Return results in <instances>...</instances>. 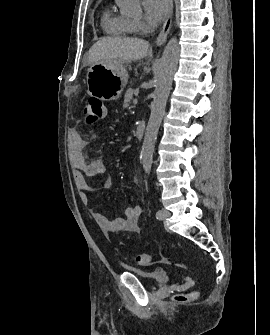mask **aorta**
<instances>
[{
	"instance_id": "obj_1",
	"label": "aorta",
	"mask_w": 270,
	"mask_h": 335,
	"mask_svg": "<svg viewBox=\"0 0 270 335\" xmlns=\"http://www.w3.org/2000/svg\"><path fill=\"white\" fill-rule=\"evenodd\" d=\"M179 52V44L176 38H171L159 62L155 90L152 94L151 114L142 146V164L145 173H150L152 168L156 136L164 116L173 76L177 70Z\"/></svg>"
}]
</instances>
